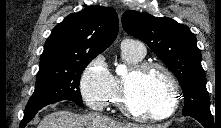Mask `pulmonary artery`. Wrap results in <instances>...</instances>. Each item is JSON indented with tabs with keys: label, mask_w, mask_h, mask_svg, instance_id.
Listing matches in <instances>:
<instances>
[{
	"label": "pulmonary artery",
	"mask_w": 221,
	"mask_h": 128,
	"mask_svg": "<svg viewBox=\"0 0 221 128\" xmlns=\"http://www.w3.org/2000/svg\"><path fill=\"white\" fill-rule=\"evenodd\" d=\"M121 48H129L141 56H144L146 53L144 43L137 39H131V38L124 39L123 42L121 43Z\"/></svg>",
	"instance_id": "pulmonary-artery-1"
}]
</instances>
